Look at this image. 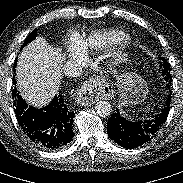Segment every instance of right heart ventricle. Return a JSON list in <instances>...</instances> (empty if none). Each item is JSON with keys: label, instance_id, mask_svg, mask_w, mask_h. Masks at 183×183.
Masks as SVG:
<instances>
[{"label": "right heart ventricle", "instance_id": "obj_1", "mask_svg": "<svg viewBox=\"0 0 183 183\" xmlns=\"http://www.w3.org/2000/svg\"><path fill=\"white\" fill-rule=\"evenodd\" d=\"M126 39V34L121 31L95 32L79 43L85 52L97 51L107 46L118 44Z\"/></svg>", "mask_w": 183, "mask_h": 183}]
</instances>
